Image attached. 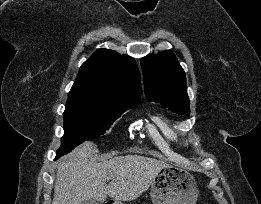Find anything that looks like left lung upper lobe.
<instances>
[{"mask_svg":"<svg viewBox=\"0 0 261 204\" xmlns=\"http://www.w3.org/2000/svg\"><path fill=\"white\" fill-rule=\"evenodd\" d=\"M145 95L177 114L189 115L185 72L171 51L149 54L141 60Z\"/></svg>","mask_w":261,"mask_h":204,"instance_id":"obj_1","label":"left lung upper lobe"}]
</instances>
